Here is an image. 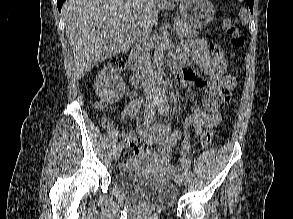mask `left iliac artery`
I'll return each mask as SVG.
<instances>
[{
    "label": "left iliac artery",
    "mask_w": 293,
    "mask_h": 219,
    "mask_svg": "<svg viewBox=\"0 0 293 219\" xmlns=\"http://www.w3.org/2000/svg\"><path fill=\"white\" fill-rule=\"evenodd\" d=\"M170 96L172 97V99L175 102V104H177V98H176V96H175L173 91H170ZM182 164L186 169H189L190 160L185 154H183V156H182Z\"/></svg>",
    "instance_id": "left-iliac-artery-1"
}]
</instances>
